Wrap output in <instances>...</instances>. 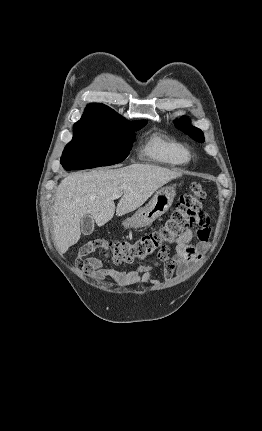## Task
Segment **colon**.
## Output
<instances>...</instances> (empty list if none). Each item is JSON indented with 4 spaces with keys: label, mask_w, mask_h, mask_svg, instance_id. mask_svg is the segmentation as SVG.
Here are the masks:
<instances>
[{
    "label": "colon",
    "mask_w": 262,
    "mask_h": 431,
    "mask_svg": "<svg viewBox=\"0 0 262 431\" xmlns=\"http://www.w3.org/2000/svg\"><path fill=\"white\" fill-rule=\"evenodd\" d=\"M205 196L203 187L199 183H194L190 191L180 197L176 209L158 229L129 241L101 238L84 244L76 257L79 269L85 272L91 271L88 261L83 258L96 251L117 264H131L152 255H167L169 245L175 242L188 227L194 223L208 222L207 215L201 212Z\"/></svg>",
    "instance_id": "1"
}]
</instances>
